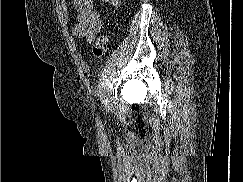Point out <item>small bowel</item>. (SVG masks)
<instances>
[{
  "label": "small bowel",
  "mask_w": 243,
  "mask_h": 182,
  "mask_svg": "<svg viewBox=\"0 0 243 182\" xmlns=\"http://www.w3.org/2000/svg\"><path fill=\"white\" fill-rule=\"evenodd\" d=\"M119 5L121 0H101ZM73 7L77 12L76 23L72 34L77 39L92 42L102 27V22L92 0H73Z\"/></svg>",
  "instance_id": "1"
}]
</instances>
